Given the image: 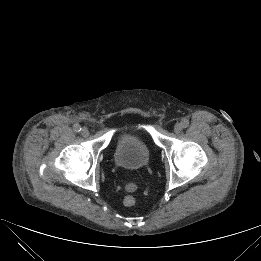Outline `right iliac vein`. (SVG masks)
<instances>
[{
	"label": "right iliac vein",
	"mask_w": 261,
	"mask_h": 261,
	"mask_svg": "<svg viewBox=\"0 0 261 261\" xmlns=\"http://www.w3.org/2000/svg\"><path fill=\"white\" fill-rule=\"evenodd\" d=\"M81 134H82L83 136H87V135L89 134L88 128H87V127H83V128L81 129Z\"/></svg>",
	"instance_id": "obj_1"
}]
</instances>
